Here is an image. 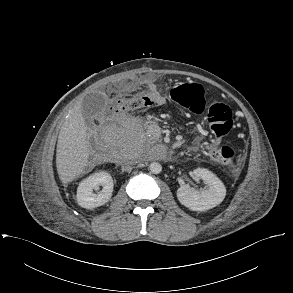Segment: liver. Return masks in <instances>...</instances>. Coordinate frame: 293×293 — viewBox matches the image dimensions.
Listing matches in <instances>:
<instances>
[{
    "instance_id": "6515ba94",
    "label": "liver",
    "mask_w": 293,
    "mask_h": 293,
    "mask_svg": "<svg viewBox=\"0 0 293 293\" xmlns=\"http://www.w3.org/2000/svg\"><path fill=\"white\" fill-rule=\"evenodd\" d=\"M89 155L87 127L80 102L69 112L58 136L56 167L62 183L71 182L84 172Z\"/></svg>"
}]
</instances>
